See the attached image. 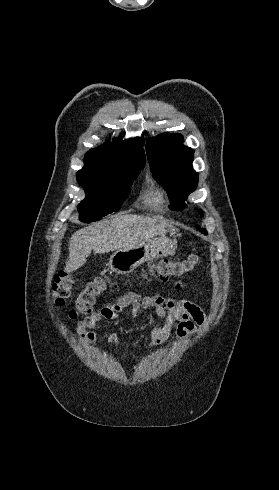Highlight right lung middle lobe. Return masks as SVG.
Wrapping results in <instances>:
<instances>
[{"label": "right lung middle lobe", "instance_id": "1", "mask_svg": "<svg viewBox=\"0 0 279 490\" xmlns=\"http://www.w3.org/2000/svg\"><path fill=\"white\" fill-rule=\"evenodd\" d=\"M141 169H124L101 178L77 175L79 184L86 192L85 199L78 205L80 220L85 223L98 221L117 211L128 197L132 181Z\"/></svg>", "mask_w": 279, "mask_h": 490}]
</instances>
